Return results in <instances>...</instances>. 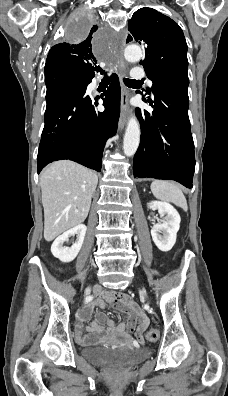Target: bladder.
<instances>
[{
	"instance_id": "bladder-1",
	"label": "bladder",
	"mask_w": 228,
	"mask_h": 396,
	"mask_svg": "<svg viewBox=\"0 0 228 396\" xmlns=\"http://www.w3.org/2000/svg\"><path fill=\"white\" fill-rule=\"evenodd\" d=\"M82 355L95 364L130 365L147 358L150 355V350L148 348L100 345L84 348Z\"/></svg>"
}]
</instances>
